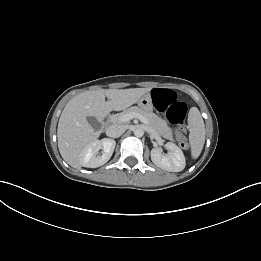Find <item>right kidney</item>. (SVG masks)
Returning a JSON list of instances; mask_svg holds the SVG:
<instances>
[{
	"mask_svg": "<svg viewBox=\"0 0 261 261\" xmlns=\"http://www.w3.org/2000/svg\"><path fill=\"white\" fill-rule=\"evenodd\" d=\"M116 142L111 139L95 140L86 145L80 154L81 165L87 168H97L104 165L111 158ZM103 150L98 155L99 150Z\"/></svg>",
	"mask_w": 261,
	"mask_h": 261,
	"instance_id": "ca27d5eb",
	"label": "right kidney"
}]
</instances>
